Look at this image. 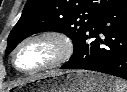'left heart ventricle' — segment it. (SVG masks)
<instances>
[{"mask_svg": "<svg viewBox=\"0 0 127 92\" xmlns=\"http://www.w3.org/2000/svg\"><path fill=\"white\" fill-rule=\"evenodd\" d=\"M57 54L56 45L49 40H35L19 51L16 63L23 70H33L50 63Z\"/></svg>", "mask_w": 127, "mask_h": 92, "instance_id": "1", "label": "left heart ventricle"}]
</instances>
